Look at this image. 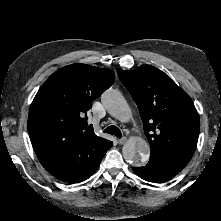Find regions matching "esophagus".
I'll return each instance as SVG.
<instances>
[{
    "mask_svg": "<svg viewBox=\"0 0 221 221\" xmlns=\"http://www.w3.org/2000/svg\"><path fill=\"white\" fill-rule=\"evenodd\" d=\"M126 141H127V138H126V137H123V138L118 139V143H119L120 145L124 144Z\"/></svg>",
    "mask_w": 221,
    "mask_h": 221,
    "instance_id": "34e87169",
    "label": "esophagus"
}]
</instances>
